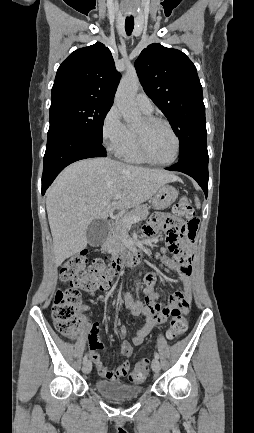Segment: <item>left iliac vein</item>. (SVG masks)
I'll list each match as a JSON object with an SVG mask.
<instances>
[{
    "label": "left iliac vein",
    "mask_w": 254,
    "mask_h": 433,
    "mask_svg": "<svg viewBox=\"0 0 254 433\" xmlns=\"http://www.w3.org/2000/svg\"><path fill=\"white\" fill-rule=\"evenodd\" d=\"M160 362H159V360L158 359H153L152 360V370L155 372V373H158L159 371H160Z\"/></svg>",
    "instance_id": "left-iliac-vein-1"
}]
</instances>
